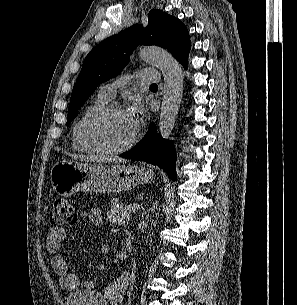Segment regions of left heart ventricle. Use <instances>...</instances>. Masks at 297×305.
Instances as JSON below:
<instances>
[{
  "label": "left heart ventricle",
  "instance_id": "b2bd125f",
  "mask_svg": "<svg viewBox=\"0 0 297 305\" xmlns=\"http://www.w3.org/2000/svg\"><path fill=\"white\" fill-rule=\"evenodd\" d=\"M86 132L95 143L107 148H116L131 139L135 128L127 113H111L90 121Z\"/></svg>",
  "mask_w": 297,
  "mask_h": 305
}]
</instances>
